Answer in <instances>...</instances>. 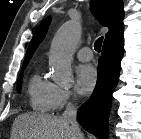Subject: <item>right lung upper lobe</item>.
I'll return each mask as SVG.
<instances>
[{
	"instance_id": "obj_1",
	"label": "right lung upper lobe",
	"mask_w": 141,
	"mask_h": 139,
	"mask_svg": "<svg viewBox=\"0 0 141 139\" xmlns=\"http://www.w3.org/2000/svg\"><path fill=\"white\" fill-rule=\"evenodd\" d=\"M91 10L103 26L109 28L104 43L112 41L123 35V2L122 0H91ZM50 18L43 20L36 28L33 39L28 47L23 66L29 63L38 45L43 41Z\"/></svg>"
}]
</instances>
